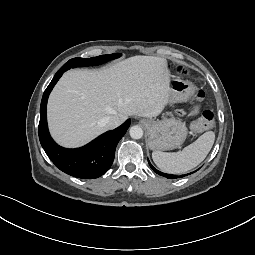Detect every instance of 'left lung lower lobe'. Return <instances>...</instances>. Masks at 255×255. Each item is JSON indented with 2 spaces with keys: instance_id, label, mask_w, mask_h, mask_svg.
I'll list each match as a JSON object with an SVG mask.
<instances>
[{
  "instance_id": "1",
  "label": "left lung lower lobe",
  "mask_w": 255,
  "mask_h": 255,
  "mask_svg": "<svg viewBox=\"0 0 255 255\" xmlns=\"http://www.w3.org/2000/svg\"><path fill=\"white\" fill-rule=\"evenodd\" d=\"M149 165H150V167L153 169V171L154 172H156L157 174H159V175H161V176H165V177H167V178H170V179H172V178H176V176L175 175H171V174H165V173H162V172H160V171H158V170H156L152 165H151V163L149 162ZM184 175H181V177H183Z\"/></svg>"
}]
</instances>
